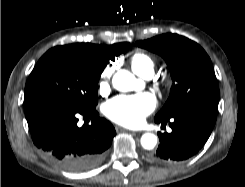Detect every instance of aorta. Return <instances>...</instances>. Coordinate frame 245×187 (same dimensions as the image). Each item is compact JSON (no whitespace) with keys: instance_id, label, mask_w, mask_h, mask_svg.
Here are the masks:
<instances>
[{"instance_id":"762f6f07","label":"aorta","mask_w":245,"mask_h":187,"mask_svg":"<svg viewBox=\"0 0 245 187\" xmlns=\"http://www.w3.org/2000/svg\"><path fill=\"white\" fill-rule=\"evenodd\" d=\"M113 87L121 92L131 91L136 84L133 74L127 70H119L112 79ZM157 144V137L152 133H145L141 137V145L144 149L152 150Z\"/></svg>"}]
</instances>
